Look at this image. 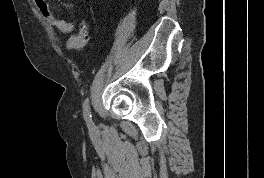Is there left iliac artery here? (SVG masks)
I'll use <instances>...</instances> for the list:
<instances>
[{"instance_id": "1", "label": "left iliac artery", "mask_w": 264, "mask_h": 178, "mask_svg": "<svg viewBox=\"0 0 264 178\" xmlns=\"http://www.w3.org/2000/svg\"><path fill=\"white\" fill-rule=\"evenodd\" d=\"M83 115L87 121L91 120L92 116H91V111H90V100L88 97L85 99L83 103Z\"/></svg>"}]
</instances>
